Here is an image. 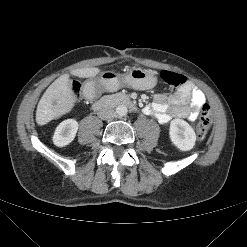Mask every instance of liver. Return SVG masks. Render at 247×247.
I'll return each mask as SVG.
<instances>
[{
	"label": "liver",
	"instance_id": "liver-1",
	"mask_svg": "<svg viewBox=\"0 0 247 247\" xmlns=\"http://www.w3.org/2000/svg\"><path fill=\"white\" fill-rule=\"evenodd\" d=\"M79 78H92L100 73L96 67L75 69L71 72ZM75 103V96L69 83V74L57 78L44 92L37 110L36 122L43 126L53 119L71 111Z\"/></svg>",
	"mask_w": 247,
	"mask_h": 247
}]
</instances>
